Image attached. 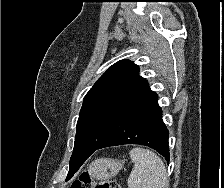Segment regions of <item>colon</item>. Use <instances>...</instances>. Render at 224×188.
Segmentation results:
<instances>
[{"label":"colon","instance_id":"5ec220e1","mask_svg":"<svg viewBox=\"0 0 224 188\" xmlns=\"http://www.w3.org/2000/svg\"><path fill=\"white\" fill-rule=\"evenodd\" d=\"M70 188H121V186L113 180L96 181L89 171H84L78 179L71 183Z\"/></svg>","mask_w":224,"mask_h":188}]
</instances>
